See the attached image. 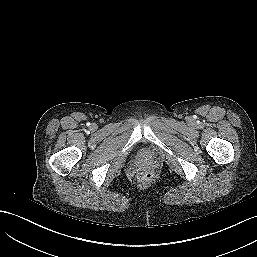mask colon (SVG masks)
<instances>
[{"label": "colon", "mask_w": 257, "mask_h": 257, "mask_svg": "<svg viewBox=\"0 0 257 257\" xmlns=\"http://www.w3.org/2000/svg\"><path fill=\"white\" fill-rule=\"evenodd\" d=\"M154 175L151 171L143 170L140 171L137 175V179L140 183L146 184L152 181Z\"/></svg>", "instance_id": "5ec220e1"}]
</instances>
